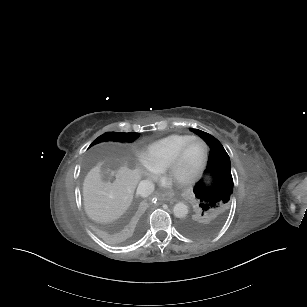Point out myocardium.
I'll use <instances>...</instances> for the list:
<instances>
[{"instance_id": "myocardium-1", "label": "myocardium", "mask_w": 307, "mask_h": 307, "mask_svg": "<svg viewBox=\"0 0 307 307\" xmlns=\"http://www.w3.org/2000/svg\"><path fill=\"white\" fill-rule=\"evenodd\" d=\"M193 141H200L204 144V147H205L204 156L199 166L195 170H193L179 184L182 186H189L193 184L204 172V170L206 169L208 165V161H209V145L203 138L192 136L187 141H185L184 144L177 151V153L164 166H162L161 173L165 180L171 181L169 178L170 172L182 162L188 145Z\"/></svg>"}]
</instances>
